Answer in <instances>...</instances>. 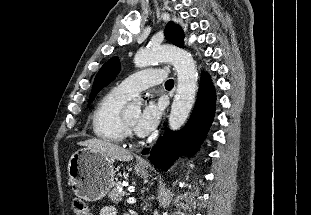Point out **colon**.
Returning <instances> with one entry per match:
<instances>
[{
	"instance_id": "1",
	"label": "colon",
	"mask_w": 311,
	"mask_h": 215,
	"mask_svg": "<svg viewBox=\"0 0 311 215\" xmlns=\"http://www.w3.org/2000/svg\"><path fill=\"white\" fill-rule=\"evenodd\" d=\"M73 215H92L88 205L81 199L73 201Z\"/></svg>"
}]
</instances>
